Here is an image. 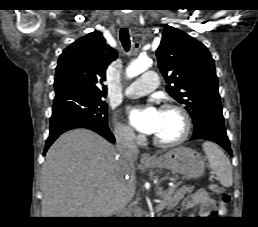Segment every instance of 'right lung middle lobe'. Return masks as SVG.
<instances>
[{
	"label": "right lung middle lobe",
	"instance_id": "right-lung-middle-lobe-1",
	"mask_svg": "<svg viewBox=\"0 0 258 227\" xmlns=\"http://www.w3.org/2000/svg\"><path fill=\"white\" fill-rule=\"evenodd\" d=\"M102 97L74 91L56 94L52 117L70 116L94 126L107 127V105Z\"/></svg>",
	"mask_w": 258,
	"mask_h": 227
}]
</instances>
